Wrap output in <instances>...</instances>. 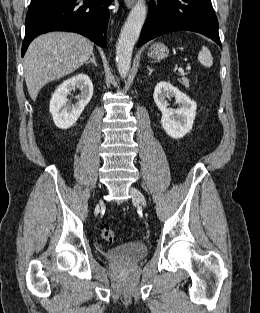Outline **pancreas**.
Segmentation results:
<instances>
[{"mask_svg":"<svg viewBox=\"0 0 260 313\" xmlns=\"http://www.w3.org/2000/svg\"><path fill=\"white\" fill-rule=\"evenodd\" d=\"M180 82L185 86V87H189V79L186 77H182Z\"/></svg>","mask_w":260,"mask_h":313,"instance_id":"obj_1","label":"pancreas"}]
</instances>
